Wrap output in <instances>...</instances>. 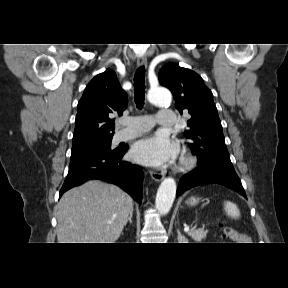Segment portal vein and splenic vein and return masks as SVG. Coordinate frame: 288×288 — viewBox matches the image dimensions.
Listing matches in <instances>:
<instances>
[{
	"mask_svg": "<svg viewBox=\"0 0 288 288\" xmlns=\"http://www.w3.org/2000/svg\"><path fill=\"white\" fill-rule=\"evenodd\" d=\"M184 231L187 233V232H189V227L187 226V227H185L184 228Z\"/></svg>",
	"mask_w": 288,
	"mask_h": 288,
	"instance_id": "1",
	"label": "portal vein and splenic vein"
}]
</instances>
